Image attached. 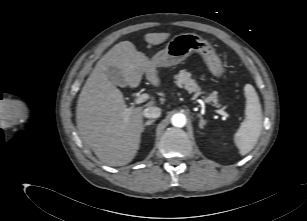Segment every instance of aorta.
Listing matches in <instances>:
<instances>
[{
	"label": "aorta",
	"mask_w": 307,
	"mask_h": 221,
	"mask_svg": "<svg viewBox=\"0 0 307 221\" xmlns=\"http://www.w3.org/2000/svg\"><path fill=\"white\" fill-rule=\"evenodd\" d=\"M171 123L175 127H183L186 124V116L182 113L174 114L171 117Z\"/></svg>",
	"instance_id": "aorta-1"
}]
</instances>
